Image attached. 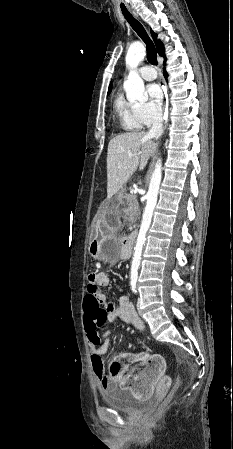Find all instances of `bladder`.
<instances>
[{"label": "bladder", "instance_id": "1", "mask_svg": "<svg viewBox=\"0 0 233 449\" xmlns=\"http://www.w3.org/2000/svg\"><path fill=\"white\" fill-rule=\"evenodd\" d=\"M102 397L109 407L126 413H135L151 406L150 400L136 399L133 392L127 388L106 389L102 392Z\"/></svg>", "mask_w": 233, "mask_h": 449}]
</instances>
